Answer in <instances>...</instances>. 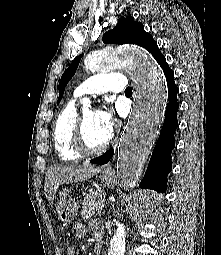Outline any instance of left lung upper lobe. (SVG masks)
<instances>
[{
	"label": "left lung upper lobe",
	"mask_w": 221,
	"mask_h": 255,
	"mask_svg": "<svg viewBox=\"0 0 221 255\" xmlns=\"http://www.w3.org/2000/svg\"><path fill=\"white\" fill-rule=\"evenodd\" d=\"M102 40L104 43L137 44L146 48L150 53H152V55L159 50L152 36L144 31L143 24L135 22L134 18L130 16L120 18L114 29L103 35ZM82 56L83 55L78 56L63 73L58 86L59 98L57 103H59L63 97L64 89L72 76L75 74Z\"/></svg>",
	"instance_id": "obj_1"
}]
</instances>
